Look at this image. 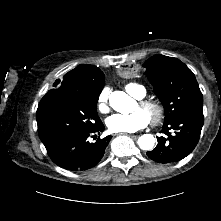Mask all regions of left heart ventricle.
Returning a JSON list of instances; mask_svg holds the SVG:
<instances>
[{
    "label": "left heart ventricle",
    "instance_id": "left-heart-ventricle-1",
    "mask_svg": "<svg viewBox=\"0 0 221 221\" xmlns=\"http://www.w3.org/2000/svg\"><path fill=\"white\" fill-rule=\"evenodd\" d=\"M140 106H137V108H139ZM141 108V107H140ZM139 110V109H138ZM141 110H143L147 115L148 117L151 119L152 115H153V111L151 109H143L141 108Z\"/></svg>",
    "mask_w": 221,
    "mask_h": 221
}]
</instances>
